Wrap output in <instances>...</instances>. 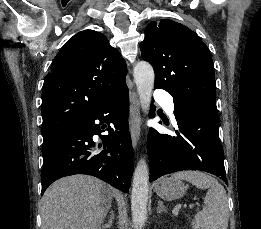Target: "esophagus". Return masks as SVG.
<instances>
[{
  "mask_svg": "<svg viewBox=\"0 0 261 229\" xmlns=\"http://www.w3.org/2000/svg\"><path fill=\"white\" fill-rule=\"evenodd\" d=\"M130 111H131V138L134 148L139 144L141 137V115L139 108L138 94L135 90L130 91Z\"/></svg>",
  "mask_w": 261,
  "mask_h": 229,
  "instance_id": "1",
  "label": "esophagus"
}]
</instances>
